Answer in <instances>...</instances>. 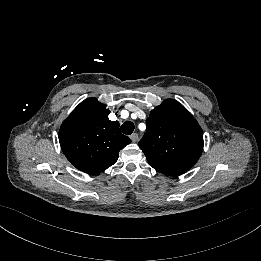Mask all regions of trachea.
<instances>
[{"instance_id": "1", "label": "trachea", "mask_w": 261, "mask_h": 261, "mask_svg": "<svg viewBox=\"0 0 261 261\" xmlns=\"http://www.w3.org/2000/svg\"><path fill=\"white\" fill-rule=\"evenodd\" d=\"M120 131L126 135L132 134L134 131V124L131 121H126L125 123L122 124L120 127Z\"/></svg>"}]
</instances>
